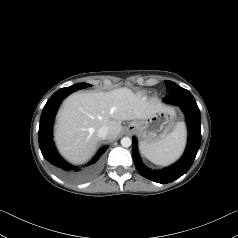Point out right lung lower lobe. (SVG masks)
<instances>
[{
	"label": "right lung lower lobe",
	"mask_w": 238,
	"mask_h": 238,
	"mask_svg": "<svg viewBox=\"0 0 238 238\" xmlns=\"http://www.w3.org/2000/svg\"><path fill=\"white\" fill-rule=\"evenodd\" d=\"M80 89L77 85L61 88L56 91L47 101L40 118L39 146L44 158L59 168L64 176L71 180H79L84 177L85 172H79L80 168L68 164L57 152L52 140V128L56 111L61 101L70 93ZM107 147L101 148L94 156L92 163L96 162Z\"/></svg>",
	"instance_id": "1"
}]
</instances>
